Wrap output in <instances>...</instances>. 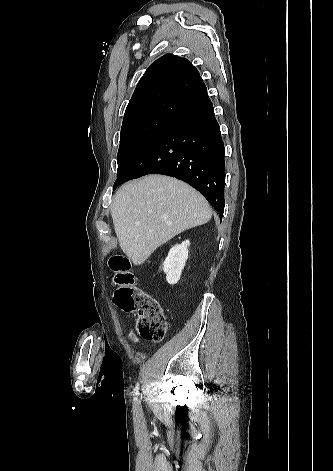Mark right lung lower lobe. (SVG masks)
<instances>
[{
  "label": "right lung lower lobe",
  "mask_w": 333,
  "mask_h": 471,
  "mask_svg": "<svg viewBox=\"0 0 333 471\" xmlns=\"http://www.w3.org/2000/svg\"><path fill=\"white\" fill-rule=\"evenodd\" d=\"M224 152L213 104L205 95L145 147L115 181L114 189L147 174L168 175L197 189L222 219L225 206Z\"/></svg>",
  "instance_id": "right-lung-lower-lobe-1"
}]
</instances>
